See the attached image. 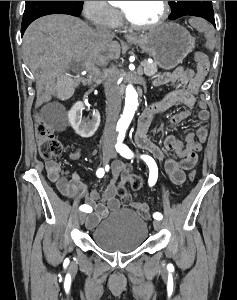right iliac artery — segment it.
Instances as JSON below:
<instances>
[{"label":"right iliac artery","instance_id":"82829eb1","mask_svg":"<svg viewBox=\"0 0 237 300\" xmlns=\"http://www.w3.org/2000/svg\"><path fill=\"white\" fill-rule=\"evenodd\" d=\"M106 167H108V166H106ZM104 173H105L104 169L99 168L96 172V175H97V177L102 178L104 176ZM80 210L83 211V212H86V213H90V212H92V207L89 206V205L84 204V205L80 206Z\"/></svg>","mask_w":237,"mask_h":300}]
</instances>
